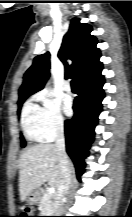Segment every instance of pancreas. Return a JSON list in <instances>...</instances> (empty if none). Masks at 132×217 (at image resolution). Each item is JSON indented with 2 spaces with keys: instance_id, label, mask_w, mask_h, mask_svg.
I'll return each mask as SVG.
<instances>
[{
  "instance_id": "obj_1",
  "label": "pancreas",
  "mask_w": 132,
  "mask_h": 217,
  "mask_svg": "<svg viewBox=\"0 0 132 217\" xmlns=\"http://www.w3.org/2000/svg\"><path fill=\"white\" fill-rule=\"evenodd\" d=\"M39 208L43 216H50L55 210V195L50 194L48 190L44 191L39 202Z\"/></svg>"
}]
</instances>
